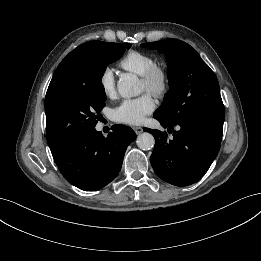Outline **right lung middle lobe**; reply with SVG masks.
Returning <instances> with one entry per match:
<instances>
[{"instance_id": "1", "label": "right lung middle lobe", "mask_w": 261, "mask_h": 261, "mask_svg": "<svg viewBox=\"0 0 261 261\" xmlns=\"http://www.w3.org/2000/svg\"><path fill=\"white\" fill-rule=\"evenodd\" d=\"M130 47L129 43L101 42L84 49L79 65L82 79L46 97V133L51 152L96 126L106 100L101 83L105 69Z\"/></svg>"}]
</instances>
